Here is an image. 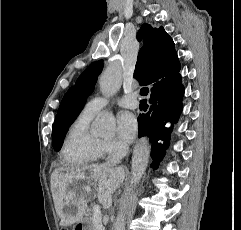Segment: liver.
<instances>
[{
    "instance_id": "obj_1",
    "label": "liver",
    "mask_w": 241,
    "mask_h": 230,
    "mask_svg": "<svg viewBox=\"0 0 241 230\" xmlns=\"http://www.w3.org/2000/svg\"><path fill=\"white\" fill-rule=\"evenodd\" d=\"M124 177L123 168H114L104 164L56 169L51 177L52 193L56 213L61 219V226H70L83 219L88 203L85 197L91 192L90 186L97 187L100 199L111 203V196ZM70 186L73 188L70 189ZM69 204L77 208L75 214L65 212L66 206Z\"/></svg>"
}]
</instances>
